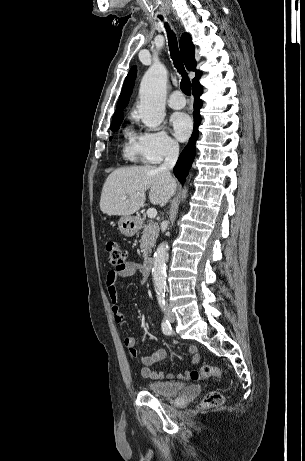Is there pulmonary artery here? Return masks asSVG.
<instances>
[{"mask_svg": "<svg viewBox=\"0 0 305 461\" xmlns=\"http://www.w3.org/2000/svg\"><path fill=\"white\" fill-rule=\"evenodd\" d=\"M185 104L186 100L180 91H174L168 99V105L172 109H182Z\"/></svg>", "mask_w": 305, "mask_h": 461, "instance_id": "1", "label": "pulmonary artery"}]
</instances>
